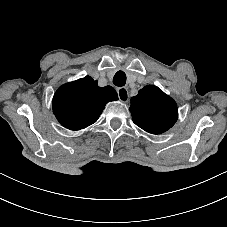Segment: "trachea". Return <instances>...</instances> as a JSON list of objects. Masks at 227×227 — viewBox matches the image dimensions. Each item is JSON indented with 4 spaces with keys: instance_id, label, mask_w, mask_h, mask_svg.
Segmentation results:
<instances>
[{
    "instance_id": "1",
    "label": "trachea",
    "mask_w": 227,
    "mask_h": 227,
    "mask_svg": "<svg viewBox=\"0 0 227 227\" xmlns=\"http://www.w3.org/2000/svg\"><path fill=\"white\" fill-rule=\"evenodd\" d=\"M126 83V74L123 71H118L113 77V84L116 86H124Z\"/></svg>"
}]
</instances>
